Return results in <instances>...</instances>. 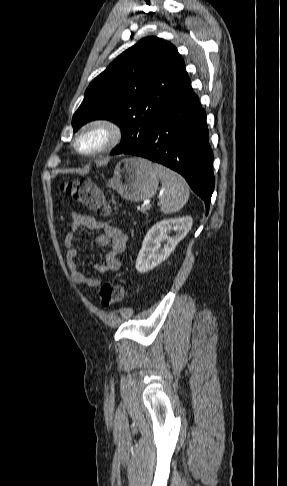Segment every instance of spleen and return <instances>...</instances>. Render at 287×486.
Here are the masks:
<instances>
[{
  "label": "spleen",
  "instance_id": "spleen-1",
  "mask_svg": "<svg viewBox=\"0 0 287 486\" xmlns=\"http://www.w3.org/2000/svg\"><path fill=\"white\" fill-rule=\"evenodd\" d=\"M164 189L160 197V210L164 214L176 213L189 198V186L178 173L159 164H154Z\"/></svg>",
  "mask_w": 287,
  "mask_h": 486
}]
</instances>
